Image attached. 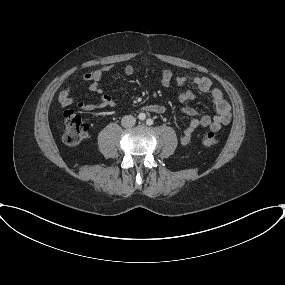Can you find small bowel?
Returning <instances> with one entry per match:
<instances>
[{"label": "small bowel", "mask_w": 285, "mask_h": 285, "mask_svg": "<svg viewBox=\"0 0 285 285\" xmlns=\"http://www.w3.org/2000/svg\"><path fill=\"white\" fill-rule=\"evenodd\" d=\"M144 66H147V63H143ZM109 67H104L101 69L93 70L86 73L83 76V81L89 83V91L99 97V100L96 102H79L77 107L82 111H92L95 108L99 107H114L115 101L113 98L103 92L99 87V81L103 75L109 71ZM135 72V67L131 64H128L124 67V73L127 76L133 75ZM160 82L164 88H169L171 86L181 87L186 83L192 84L196 89L203 93L210 94L212 101L216 108V114L214 116L203 115L199 116L197 110L191 107H183L181 112L194 117L189 123L188 127L184 129L180 137V142L182 145H189L194 136V132L198 128H206L212 131L220 130L224 125H227L231 120V108L229 103L224 98L221 90L217 87H213L212 81L207 76H196L185 74L181 76H174L170 70H162L160 74ZM195 97V93L192 90H186L179 94V99L183 102L189 101ZM58 101L61 107L66 108L72 105L75 101L72 96V88L68 87L62 90L59 93ZM148 112L162 114L165 112L166 108L161 104H151L144 108Z\"/></svg>", "instance_id": "c3829d8e"}]
</instances>
